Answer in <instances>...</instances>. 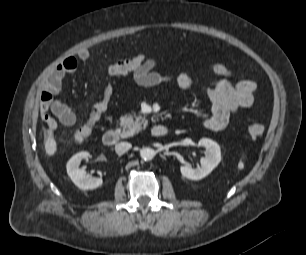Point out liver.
<instances>
[{
    "label": "liver",
    "mask_w": 306,
    "mask_h": 255,
    "mask_svg": "<svg viewBox=\"0 0 306 255\" xmlns=\"http://www.w3.org/2000/svg\"><path fill=\"white\" fill-rule=\"evenodd\" d=\"M45 151L48 156H53L57 152V142L53 135V130L47 131V138L45 140Z\"/></svg>",
    "instance_id": "6515ba94"
}]
</instances>
